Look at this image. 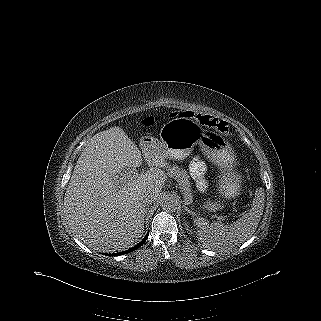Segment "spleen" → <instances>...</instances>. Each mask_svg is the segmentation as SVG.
I'll use <instances>...</instances> for the list:
<instances>
[{
	"label": "spleen",
	"instance_id": "obj_1",
	"mask_svg": "<svg viewBox=\"0 0 321 321\" xmlns=\"http://www.w3.org/2000/svg\"><path fill=\"white\" fill-rule=\"evenodd\" d=\"M264 190L256 191L252 207L248 213L230 224L220 222L209 224L204 218L195 219L200 241L213 250L230 249L250 237L257 229L264 209Z\"/></svg>",
	"mask_w": 321,
	"mask_h": 321
}]
</instances>
